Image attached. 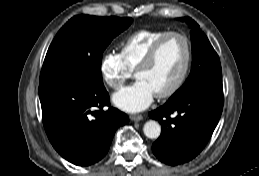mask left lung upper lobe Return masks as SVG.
<instances>
[{
  "mask_svg": "<svg viewBox=\"0 0 259 176\" xmlns=\"http://www.w3.org/2000/svg\"><path fill=\"white\" fill-rule=\"evenodd\" d=\"M191 28L192 69L184 85L169 99L173 102L199 91L223 93L219 57L199 25L189 17L181 18Z\"/></svg>",
  "mask_w": 259,
  "mask_h": 176,
  "instance_id": "obj_1",
  "label": "left lung upper lobe"
}]
</instances>
